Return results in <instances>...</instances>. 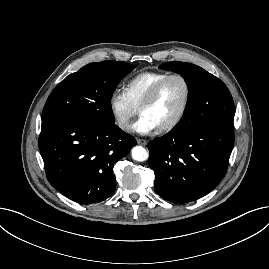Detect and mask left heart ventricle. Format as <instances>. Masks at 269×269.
Wrapping results in <instances>:
<instances>
[{
  "instance_id": "obj_1",
  "label": "left heart ventricle",
  "mask_w": 269,
  "mask_h": 269,
  "mask_svg": "<svg viewBox=\"0 0 269 269\" xmlns=\"http://www.w3.org/2000/svg\"><path fill=\"white\" fill-rule=\"evenodd\" d=\"M186 90L179 79L168 81L162 88L155 102L142 110L141 114L149 117L157 127L170 123L183 107Z\"/></svg>"
}]
</instances>
